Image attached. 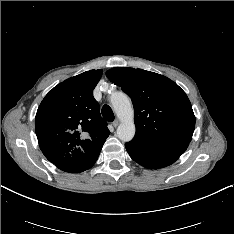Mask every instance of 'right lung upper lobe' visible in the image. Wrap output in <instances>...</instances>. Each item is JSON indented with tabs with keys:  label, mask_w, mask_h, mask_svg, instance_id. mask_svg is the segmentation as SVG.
<instances>
[{
	"label": "right lung upper lobe",
	"mask_w": 234,
	"mask_h": 234,
	"mask_svg": "<svg viewBox=\"0 0 234 234\" xmlns=\"http://www.w3.org/2000/svg\"><path fill=\"white\" fill-rule=\"evenodd\" d=\"M102 70H90L55 86L41 102L35 130L45 157L59 166L76 162L103 144L107 122L93 90Z\"/></svg>",
	"instance_id": "1"
}]
</instances>
